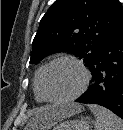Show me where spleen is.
Returning a JSON list of instances; mask_svg holds the SVG:
<instances>
[{"mask_svg":"<svg viewBox=\"0 0 123 130\" xmlns=\"http://www.w3.org/2000/svg\"><path fill=\"white\" fill-rule=\"evenodd\" d=\"M95 115V130H123V120L106 108L89 104Z\"/></svg>","mask_w":123,"mask_h":130,"instance_id":"3e777b00","label":"spleen"}]
</instances>
